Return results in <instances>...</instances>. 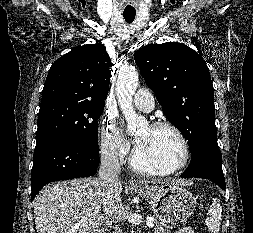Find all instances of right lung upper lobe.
<instances>
[{
	"instance_id": "right-lung-upper-lobe-1",
	"label": "right lung upper lobe",
	"mask_w": 253,
	"mask_h": 233,
	"mask_svg": "<svg viewBox=\"0 0 253 233\" xmlns=\"http://www.w3.org/2000/svg\"><path fill=\"white\" fill-rule=\"evenodd\" d=\"M111 72V59L103 44L76 48L52 64L41 103L50 100L105 103Z\"/></svg>"
}]
</instances>
